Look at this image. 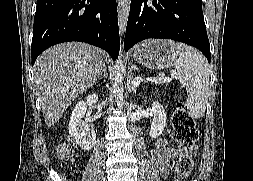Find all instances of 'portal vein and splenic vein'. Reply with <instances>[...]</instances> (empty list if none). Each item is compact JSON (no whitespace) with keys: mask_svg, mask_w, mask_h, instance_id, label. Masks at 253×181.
Wrapping results in <instances>:
<instances>
[{"mask_svg":"<svg viewBox=\"0 0 253 181\" xmlns=\"http://www.w3.org/2000/svg\"><path fill=\"white\" fill-rule=\"evenodd\" d=\"M172 78H176V76H173ZM172 78H160L158 81L159 82H171Z\"/></svg>","mask_w":253,"mask_h":181,"instance_id":"portal-vein-and-splenic-vein-1","label":"portal vein and splenic vein"}]
</instances>
